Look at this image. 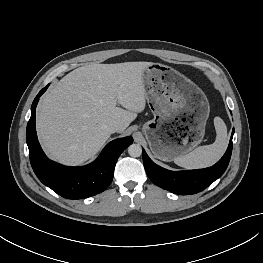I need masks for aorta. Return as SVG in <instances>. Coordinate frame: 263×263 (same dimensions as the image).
<instances>
[{"mask_svg":"<svg viewBox=\"0 0 263 263\" xmlns=\"http://www.w3.org/2000/svg\"><path fill=\"white\" fill-rule=\"evenodd\" d=\"M128 153L131 157H139L142 154V148L139 144H131L128 147Z\"/></svg>","mask_w":263,"mask_h":263,"instance_id":"aorta-1","label":"aorta"}]
</instances>
